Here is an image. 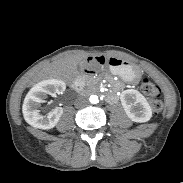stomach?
Returning a JSON list of instances; mask_svg holds the SVG:
<instances>
[{"mask_svg": "<svg viewBox=\"0 0 183 183\" xmlns=\"http://www.w3.org/2000/svg\"><path fill=\"white\" fill-rule=\"evenodd\" d=\"M103 64L113 75H118L125 81L137 83L142 75L141 69L117 57H104Z\"/></svg>", "mask_w": 183, "mask_h": 183, "instance_id": "obj_1", "label": "stomach"}]
</instances>
